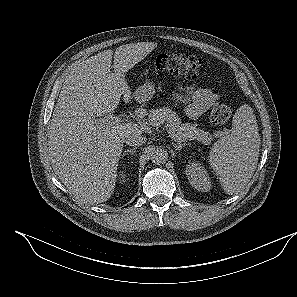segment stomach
Listing matches in <instances>:
<instances>
[{
	"label": "stomach",
	"mask_w": 297,
	"mask_h": 297,
	"mask_svg": "<svg viewBox=\"0 0 297 297\" xmlns=\"http://www.w3.org/2000/svg\"><path fill=\"white\" fill-rule=\"evenodd\" d=\"M155 94L154 84L146 82L144 85L138 87L134 92V98L139 102H146L150 100Z\"/></svg>",
	"instance_id": "1"
}]
</instances>
